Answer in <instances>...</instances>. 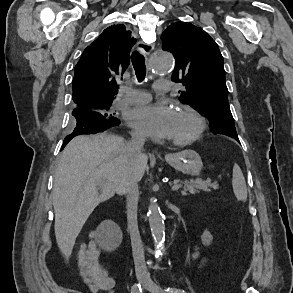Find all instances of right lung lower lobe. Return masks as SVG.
Wrapping results in <instances>:
<instances>
[{
	"mask_svg": "<svg viewBox=\"0 0 293 293\" xmlns=\"http://www.w3.org/2000/svg\"><path fill=\"white\" fill-rule=\"evenodd\" d=\"M72 115L74 116L75 128L72 133L65 137L61 150L77 135L101 132L110 127L118 126L120 123L114 116H105L91 110L75 109Z\"/></svg>",
	"mask_w": 293,
	"mask_h": 293,
	"instance_id": "right-lung-lower-lobe-1",
	"label": "right lung lower lobe"
}]
</instances>
